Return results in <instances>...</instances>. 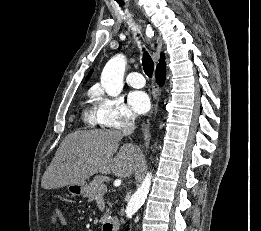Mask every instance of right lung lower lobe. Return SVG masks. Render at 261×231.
Masks as SVG:
<instances>
[{
  "mask_svg": "<svg viewBox=\"0 0 261 231\" xmlns=\"http://www.w3.org/2000/svg\"><path fill=\"white\" fill-rule=\"evenodd\" d=\"M165 77H166V66L163 65L162 67L157 68L156 70V81L160 86L164 84Z\"/></svg>",
  "mask_w": 261,
  "mask_h": 231,
  "instance_id": "right-lung-lower-lobe-1",
  "label": "right lung lower lobe"
}]
</instances>
